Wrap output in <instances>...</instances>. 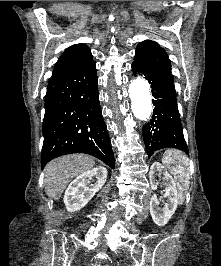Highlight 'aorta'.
<instances>
[{
	"label": "aorta",
	"mask_w": 221,
	"mask_h": 266,
	"mask_svg": "<svg viewBox=\"0 0 221 266\" xmlns=\"http://www.w3.org/2000/svg\"><path fill=\"white\" fill-rule=\"evenodd\" d=\"M131 109L136 118L147 121L152 112L151 95L148 83L138 76L129 86Z\"/></svg>",
	"instance_id": "obj_1"
}]
</instances>
